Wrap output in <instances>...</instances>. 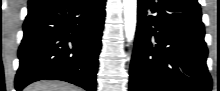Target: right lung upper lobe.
<instances>
[{
  "label": "right lung upper lobe",
  "mask_w": 220,
  "mask_h": 91,
  "mask_svg": "<svg viewBox=\"0 0 220 91\" xmlns=\"http://www.w3.org/2000/svg\"><path fill=\"white\" fill-rule=\"evenodd\" d=\"M36 1H38V0H30L29 3L36 2Z\"/></svg>",
  "instance_id": "1"
}]
</instances>
